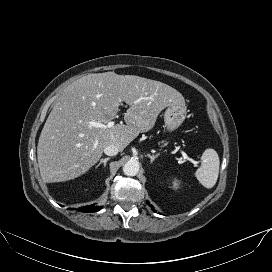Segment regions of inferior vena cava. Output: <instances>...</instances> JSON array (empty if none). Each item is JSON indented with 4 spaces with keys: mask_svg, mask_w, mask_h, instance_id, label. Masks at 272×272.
Returning a JSON list of instances; mask_svg holds the SVG:
<instances>
[{
    "mask_svg": "<svg viewBox=\"0 0 272 272\" xmlns=\"http://www.w3.org/2000/svg\"><path fill=\"white\" fill-rule=\"evenodd\" d=\"M119 152V148L114 144H109L104 148V153L108 156H115Z\"/></svg>",
    "mask_w": 272,
    "mask_h": 272,
    "instance_id": "inferior-vena-cava-1",
    "label": "inferior vena cava"
}]
</instances>
